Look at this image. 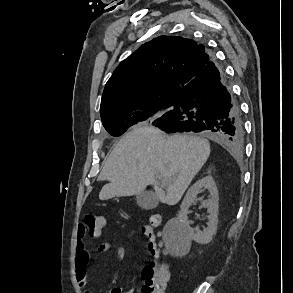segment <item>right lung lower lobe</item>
Listing matches in <instances>:
<instances>
[{
  "instance_id": "obj_1",
  "label": "right lung lower lobe",
  "mask_w": 293,
  "mask_h": 293,
  "mask_svg": "<svg viewBox=\"0 0 293 293\" xmlns=\"http://www.w3.org/2000/svg\"><path fill=\"white\" fill-rule=\"evenodd\" d=\"M175 107L152 124L167 133L202 132L235 151L243 148L240 108L214 58L178 94Z\"/></svg>"
}]
</instances>
